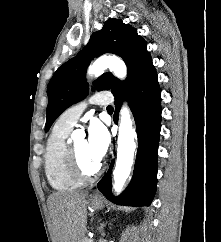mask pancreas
Returning a JSON list of instances; mask_svg holds the SVG:
<instances>
[{"label": "pancreas", "mask_w": 221, "mask_h": 242, "mask_svg": "<svg viewBox=\"0 0 221 242\" xmlns=\"http://www.w3.org/2000/svg\"><path fill=\"white\" fill-rule=\"evenodd\" d=\"M83 242H93L89 237H85Z\"/></svg>", "instance_id": "cf45deb5"}]
</instances>
